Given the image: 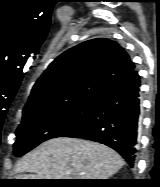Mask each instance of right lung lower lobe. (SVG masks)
Wrapping results in <instances>:
<instances>
[{
    "instance_id": "98d812e1",
    "label": "right lung lower lobe",
    "mask_w": 160,
    "mask_h": 187,
    "mask_svg": "<svg viewBox=\"0 0 160 187\" xmlns=\"http://www.w3.org/2000/svg\"><path fill=\"white\" fill-rule=\"evenodd\" d=\"M140 110V76L133 70L99 99L87 119L61 137L103 143L116 150L133 167L138 152Z\"/></svg>"
}]
</instances>
